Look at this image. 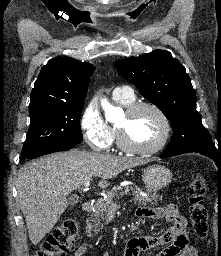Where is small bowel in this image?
Returning a JSON list of instances; mask_svg holds the SVG:
<instances>
[{
	"label": "small bowel",
	"mask_w": 221,
	"mask_h": 256,
	"mask_svg": "<svg viewBox=\"0 0 221 256\" xmlns=\"http://www.w3.org/2000/svg\"><path fill=\"white\" fill-rule=\"evenodd\" d=\"M136 215L140 218L155 220L164 219L173 225L165 232L153 235L135 237L127 242L124 256H139L141 252L166 245L155 256H197V252L189 243L186 219L179 214L174 204L164 207L137 209ZM89 248L87 243L82 244L74 256H84Z\"/></svg>",
	"instance_id": "1"
}]
</instances>
